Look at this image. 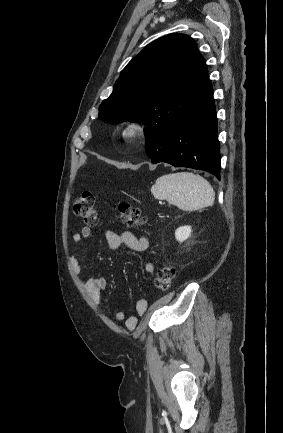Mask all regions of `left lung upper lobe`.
I'll use <instances>...</instances> for the list:
<instances>
[{
    "mask_svg": "<svg viewBox=\"0 0 283 433\" xmlns=\"http://www.w3.org/2000/svg\"><path fill=\"white\" fill-rule=\"evenodd\" d=\"M206 70L193 39L169 34L147 45L122 71L113 92L99 107L102 120L140 122L154 127L173 124L201 106ZM145 135V136H146Z\"/></svg>",
    "mask_w": 283,
    "mask_h": 433,
    "instance_id": "1",
    "label": "left lung upper lobe"
}]
</instances>
